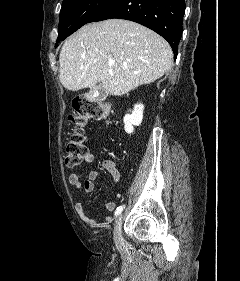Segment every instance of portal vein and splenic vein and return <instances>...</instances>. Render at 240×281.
Here are the masks:
<instances>
[{
    "label": "portal vein and splenic vein",
    "mask_w": 240,
    "mask_h": 281,
    "mask_svg": "<svg viewBox=\"0 0 240 281\" xmlns=\"http://www.w3.org/2000/svg\"><path fill=\"white\" fill-rule=\"evenodd\" d=\"M113 65V62H109V66H112Z\"/></svg>",
    "instance_id": "portal-vein-and-splenic-vein-1"
}]
</instances>
